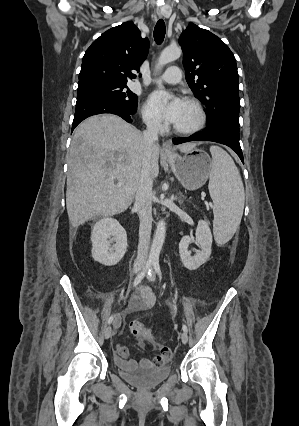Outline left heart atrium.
I'll return each mask as SVG.
<instances>
[{"mask_svg":"<svg viewBox=\"0 0 299 426\" xmlns=\"http://www.w3.org/2000/svg\"><path fill=\"white\" fill-rule=\"evenodd\" d=\"M168 95L163 91H155L150 96L149 104L152 112L158 117L175 124L182 110L183 101L173 97L167 101Z\"/></svg>","mask_w":299,"mask_h":426,"instance_id":"1","label":"left heart atrium"}]
</instances>
